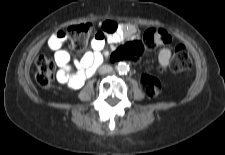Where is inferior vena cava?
<instances>
[{
    "instance_id": "obj_1",
    "label": "inferior vena cava",
    "mask_w": 225,
    "mask_h": 155,
    "mask_svg": "<svg viewBox=\"0 0 225 155\" xmlns=\"http://www.w3.org/2000/svg\"><path fill=\"white\" fill-rule=\"evenodd\" d=\"M113 70V68L110 65H103L99 68V73L104 74V73H109Z\"/></svg>"
}]
</instances>
